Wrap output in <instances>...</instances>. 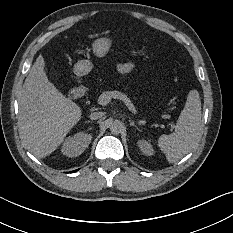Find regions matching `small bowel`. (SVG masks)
<instances>
[{
	"label": "small bowel",
	"mask_w": 233,
	"mask_h": 233,
	"mask_svg": "<svg viewBox=\"0 0 233 233\" xmlns=\"http://www.w3.org/2000/svg\"><path fill=\"white\" fill-rule=\"evenodd\" d=\"M116 69L122 76H126L133 71L134 65L130 62L119 63L116 65Z\"/></svg>",
	"instance_id": "c3829d8e"
}]
</instances>
